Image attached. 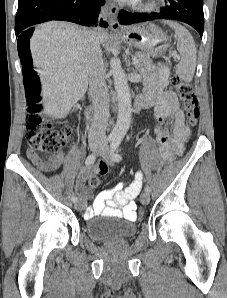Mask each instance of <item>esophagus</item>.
Listing matches in <instances>:
<instances>
[{
    "instance_id": "1",
    "label": "esophagus",
    "mask_w": 227,
    "mask_h": 298,
    "mask_svg": "<svg viewBox=\"0 0 227 298\" xmlns=\"http://www.w3.org/2000/svg\"><path fill=\"white\" fill-rule=\"evenodd\" d=\"M118 11H119L118 6L116 4L110 2L108 5V21H109V24H110L112 30L120 29V25L116 20ZM105 19H107V17L105 15H101L99 17V23H101L102 20L105 21Z\"/></svg>"
}]
</instances>
